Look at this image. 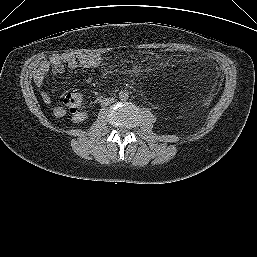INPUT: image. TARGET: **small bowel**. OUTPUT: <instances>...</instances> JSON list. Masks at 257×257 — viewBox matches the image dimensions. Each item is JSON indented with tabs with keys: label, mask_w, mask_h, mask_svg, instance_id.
<instances>
[{
	"label": "small bowel",
	"mask_w": 257,
	"mask_h": 257,
	"mask_svg": "<svg viewBox=\"0 0 257 257\" xmlns=\"http://www.w3.org/2000/svg\"><path fill=\"white\" fill-rule=\"evenodd\" d=\"M101 62L102 57L94 53L81 55H53L48 60L40 63L34 73V81L37 86L41 87L49 71L58 75L63 73L65 65H68L73 69H89L98 67ZM42 99L47 105H51V98L45 91L42 92ZM66 112V109L61 106H57L53 109V113L57 118L65 116Z\"/></svg>",
	"instance_id": "1"
}]
</instances>
